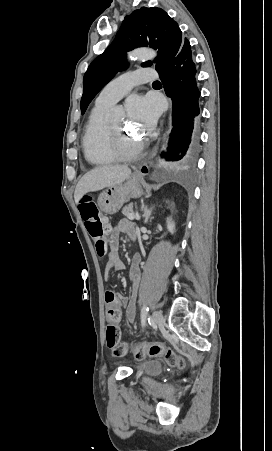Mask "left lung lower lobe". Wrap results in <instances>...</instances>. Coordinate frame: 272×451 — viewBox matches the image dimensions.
<instances>
[{
    "label": "left lung lower lobe",
    "instance_id": "left-lung-lower-lobe-1",
    "mask_svg": "<svg viewBox=\"0 0 272 451\" xmlns=\"http://www.w3.org/2000/svg\"><path fill=\"white\" fill-rule=\"evenodd\" d=\"M158 73L167 95L173 100V129L166 158L172 161V168H185L196 157L200 113V91L188 39H184L177 55Z\"/></svg>",
    "mask_w": 272,
    "mask_h": 451
}]
</instances>
